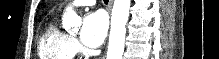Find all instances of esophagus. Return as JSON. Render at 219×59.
I'll list each match as a JSON object with an SVG mask.
<instances>
[{"mask_svg": "<svg viewBox=\"0 0 219 59\" xmlns=\"http://www.w3.org/2000/svg\"><path fill=\"white\" fill-rule=\"evenodd\" d=\"M112 4H113V0H110V1H109V7H108L109 13L111 12ZM104 57H105V56H104ZM104 57H103V58H104Z\"/></svg>", "mask_w": 219, "mask_h": 59, "instance_id": "esophagus-1", "label": "esophagus"}]
</instances>
